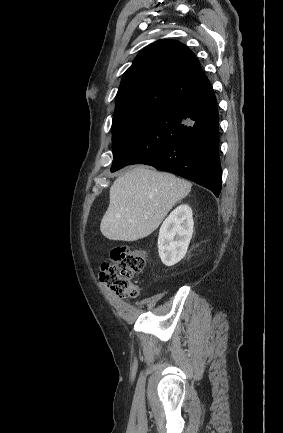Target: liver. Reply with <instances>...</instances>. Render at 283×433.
Instances as JSON below:
<instances>
[{
    "mask_svg": "<svg viewBox=\"0 0 283 433\" xmlns=\"http://www.w3.org/2000/svg\"><path fill=\"white\" fill-rule=\"evenodd\" d=\"M191 182L170 172L136 166L110 186L100 231L110 241H138L158 229L170 208L191 190Z\"/></svg>",
    "mask_w": 283,
    "mask_h": 433,
    "instance_id": "liver-1",
    "label": "liver"
}]
</instances>
